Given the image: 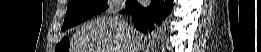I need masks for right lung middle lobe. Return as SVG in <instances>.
<instances>
[{"mask_svg":"<svg viewBox=\"0 0 261 52\" xmlns=\"http://www.w3.org/2000/svg\"><path fill=\"white\" fill-rule=\"evenodd\" d=\"M107 8V0H69L61 31L89 19Z\"/></svg>","mask_w":261,"mask_h":52,"instance_id":"obj_1","label":"right lung middle lobe"}]
</instances>
